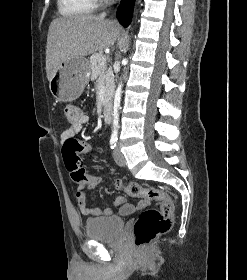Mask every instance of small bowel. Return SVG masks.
<instances>
[{"label": "small bowel", "mask_w": 247, "mask_h": 280, "mask_svg": "<svg viewBox=\"0 0 247 280\" xmlns=\"http://www.w3.org/2000/svg\"><path fill=\"white\" fill-rule=\"evenodd\" d=\"M89 122V117L86 114H80V117L77 121L70 123L69 126L63 131L61 135L62 144L70 139H75V136L81 131L82 127ZM92 176V175H88ZM85 189L77 186L76 189V197L78 200V205L81 210V213L85 216H100L106 215L110 216L113 214V210L111 208H106L104 210L98 207H92L87 204V197L85 193ZM115 205L120 207V214L127 215L132 213L135 209L143 208L146 205V202L141 201L137 206L132 204L125 203L123 197H117L115 200Z\"/></svg>", "instance_id": "c3829d8e"}]
</instances>
